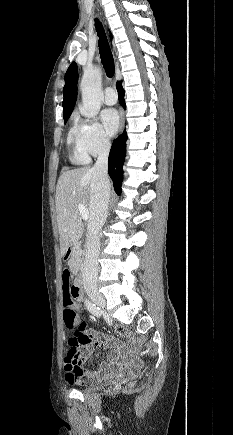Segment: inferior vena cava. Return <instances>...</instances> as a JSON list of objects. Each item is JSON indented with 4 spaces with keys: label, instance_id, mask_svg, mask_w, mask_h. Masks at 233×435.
Instances as JSON below:
<instances>
[{
    "label": "inferior vena cava",
    "instance_id": "602c4592",
    "mask_svg": "<svg viewBox=\"0 0 233 435\" xmlns=\"http://www.w3.org/2000/svg\"><path fill=\"white\" fill-rule=\"evenodd\" d=\"M110 141L104 139L98 159L92 168L90 195V218L87 228V251L82 273L84 289L97 287L98 256L100 251L99 233L107 219L110 198V182L108 179V155Z\"/></svg>",
    "mask_w": 233,
    "mask_h": 435
}]
</instances>
